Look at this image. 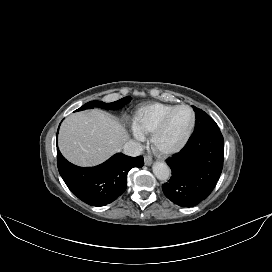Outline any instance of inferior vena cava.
<instances>
[{
    "label": "inferior vena cava",
    "instance_id": "inferior-vena-cava-1",
    "mask_svg": "<svg viewBox=\"0 0 272 272\" xmlns=\"http://www.w3.org/2000/svg\"><path fill=\"white\" fill-rule=\"evenodd\" d=\"M122 152L129 156H138L142 153V147L139 143L129 140L122 146Z\"/></svg>",
    "mask_w": 272,
    "mask_h": 272
}]
</instances>
